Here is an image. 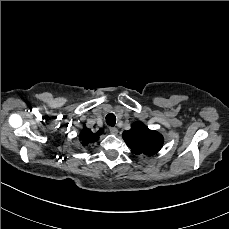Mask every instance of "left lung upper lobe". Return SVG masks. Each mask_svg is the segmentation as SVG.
I'll return each mask as SVG.
<instances>
[{"mask_svg":"<svg viewBox=\"0 0 229 229\" xmlns=\"http://www.w3.org/2000/svg\"><path fill=\"white\" fill-rule=\"evenodd\" d=\"M123 139L136 155L153 156L161 150L163 136L154 130H150L145 124L137 121L131 129L123 132Z\"/></svg>","mask_w":229,"mask_h":229,"instance_id":"left-lung-upper-lobe-1","label":"left lung upper lobe"}]
</instances>
